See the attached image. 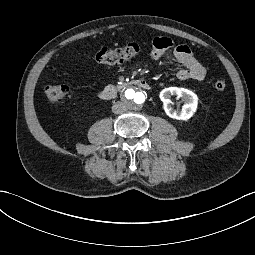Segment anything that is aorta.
I'll return each mask as SVG.
<instances>
[{
    "instance_id": "aorta-1",
    "label": "aorta",
    "mask_w": 255,
    "mask_h": 255,
    "mask_svg": "<svg viewBox=\"0 0 255 255\" xmlns=\"http://www.w3.org/2000/svg\"><path fill=\"white\" fill-rule=\"evenodd\" d=\"M125 102L133 108H138L143 105L146 100L144 92L137 87H130L123 93Z\"/></svg>"
}]
</instances>
